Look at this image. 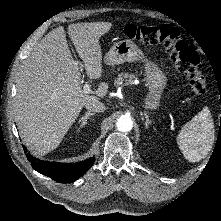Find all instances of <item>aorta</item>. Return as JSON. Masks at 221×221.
Here are the masks:
<instances>
[{"label":"aorta","mask_w":221,"mask_h":221,"mask_svg":"<svg viewBox=\"0 0 221 221\" xmlns=\"http://www.w3.org/2000/svg\"><path fill=\"white\" fill-rule=\"evenodd\" d=\"M117 129L121 132H128L133 127V121L129 116H122L117 120Z\"/></svg>","instance_id":"obj_1"}]
</instances>
